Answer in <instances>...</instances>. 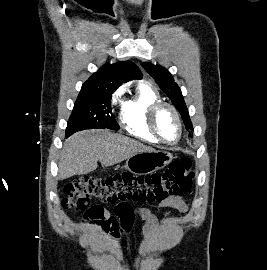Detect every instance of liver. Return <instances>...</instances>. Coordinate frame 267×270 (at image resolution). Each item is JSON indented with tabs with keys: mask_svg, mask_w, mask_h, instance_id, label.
<instances>
[{
	"mask_svg": "<svg viewBox=\"0 0 267 270\" xmlns=\"http://www.w3.org/2000/svg\"><path fill=\"white\" fill-rule=\"evenodd\" d=\"M144 151L154 149L109 130H85L64 142L58 165V178L87 174L98 167V161L108 167Z\"/></svg>",
	"mask_w": 267,
	"mask_h": 270,
	"instance_id": "liver-1",
	"label": "liver"
}]
</instances>
